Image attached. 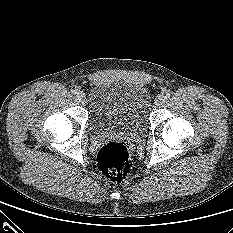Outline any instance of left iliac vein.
I'll list each match as a JSON object with an SVG mask.
<instances>
[{
	"mask_svg": "<svg viewBox=\"0 0 233 233\" xmlns=\"http://www.w3.org/2000/svg\"><path fill=\"white\" fill-rule=\"evenodd\" d=\"M163 103H164V97L162 95H158L155 98V105L160 107L161 105H163Z\"/></svg>",
	"mask_w": 233,
	"mask_h": 233,
	"instance_id": "1",
	"label": "left iliac vein"
}]
</instances>
